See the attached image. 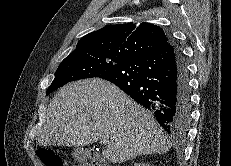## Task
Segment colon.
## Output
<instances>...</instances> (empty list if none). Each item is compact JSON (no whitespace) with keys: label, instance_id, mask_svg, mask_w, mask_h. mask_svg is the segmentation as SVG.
<instances>
[{"label":"colon","instance_id":"5ec220e1","mask_svg":"<svg viewBox=\"0 0 231 166\" xmlns=\"http://www.w3.org/2000/svg\"><path fill=\"white\" fill-rule=\"evenodd\" d=\"M38 157L44 166H65L61 154L52 149H41L38 151Z\"/></svg>","mask_w":231,"mask_h":166}]
</instances>
